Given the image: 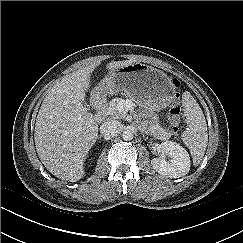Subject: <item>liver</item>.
Masks as SVG:
<instances>
[{
  "mask_svg": "<svg viewBox=\"0 0 243 243\" xmlns=\"http://www.w3.org/2000/svg\"><path fill=\"white\" fill-rule=\"evenodd\" d=\"M137 62L112 61L109 71ZM100 63H92L64 76L44 98L39 109L34 140L37 154L57 178L76 182L84 176V161L96 142L98 124L83 105L91 73Z\"/></svg>",
  "mask_w": 243,
  "mask_h": 243,
  "instance_id": "1",
  "label": "liver"
}]
</instances>
